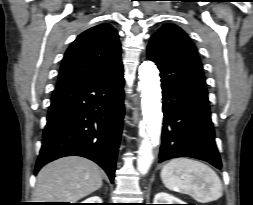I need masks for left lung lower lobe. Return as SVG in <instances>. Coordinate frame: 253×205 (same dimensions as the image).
I'll use <instances>...</instances> for the list:
<instances>
[{"label": "left lung lower lobe", "instance_id": "1", "mask_svg": "<svg viewBox=\"0 0 253 205\" xmlns=\"http://www.w3.org/2000/svg\"><path fill=\"white\" fill-rule=\"evenodd\" d=\"M147 56L155 62L162 78L164 121L159 163L191 157L220 169L222 164L199 58L159 37H151Z\"/></svg>", "mask_w": 253, "mask_h": 205}]
</instances>
